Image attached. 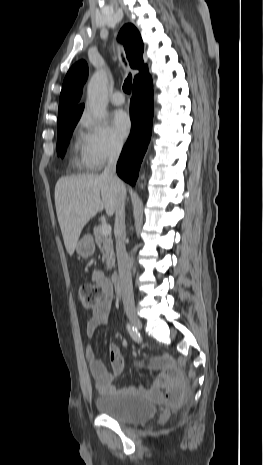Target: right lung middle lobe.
<instances>
[{"mask_svg":"<svg viewBox=\"0 0 263 465\" xmlns=\"http://www.w3.org/2000/svg\"><path fill=\"white\" fill-rule=\"evenodd\" d=\"M82 114V111L77 112L64 120L58 122V140H57V154L61 157L64 156L66 148L69 144L72 132Z\"/></svg>","mask_w":263,"mask_h":465,"instance_id":"obj_1","label":"right lung middle lobe"}]
</instances>
